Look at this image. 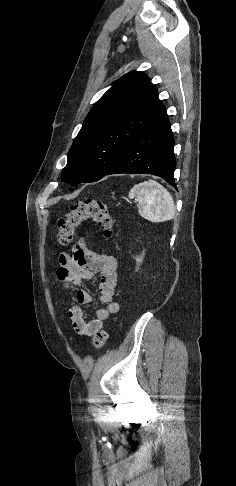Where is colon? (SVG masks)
I'll return each mask as SVG.
<instances>
[{"label": "colon", "instance_id": "colon-1", "mask_svg": "<svg viewBox=\"0 0 236 486\" xmlns=\"http://www.w3.org/2000/svg\"><path fill=\"white\" fill-rule=\"evenodd\" d=\"M87 221L98 225L106 238L112 236L113 216L108 206L100 200L89 198L73 204L69 212L58 221V243L60 245L70 244L74 239L76 230ZM106 340L107 332L105 330L97 331L92 338L93 347L95 349L102 348Z\"/></svg>", "mask_w": 236, "mask_h": 486}]
</instances>
